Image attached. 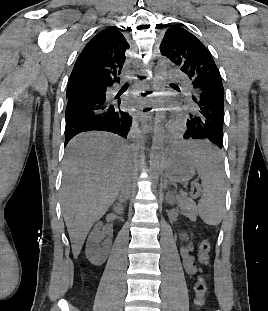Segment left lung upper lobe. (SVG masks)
Segmentation results:
<instances>
[{"label":"left lung upper lobe","mask_w":268,"mask_h":311,"mask_svg":"<svg viewBox=\"0 0 268 311\" xmlns=\"http://www.w3.org/2000/svg\"><path fill=\"white\" fill-rule=\"evenodd\" d=\"M160 51L189 77L194 94L211 88L224 92L221 75L212 55L186 29L177 25L171 26L160 44Z\"/></svg>","instance_id":"1"}]
</instances>
